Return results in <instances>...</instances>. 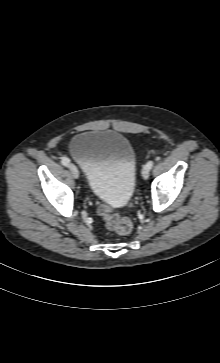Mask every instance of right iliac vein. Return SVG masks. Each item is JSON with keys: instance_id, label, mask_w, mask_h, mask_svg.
<instances>
[{"instance_id": "1", "label": "right iliac vein", "mask_w": 220, "mask_h": 363, "mask_svg": "<svg viewBox=\"0 0 220 363\" xmlns=\"http://www.w3.org/2000/svg\"><path fill=\"white\" fill-rule=\"evenodd\" d=\"M69 169H70V172H71L72 176L75 179H78L79 178L78 168L74 164L71 163V164H69Z\"/></svg>"}]
</instances>
